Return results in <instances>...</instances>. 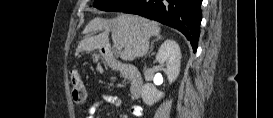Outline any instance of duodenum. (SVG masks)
I'll list each match as a JSON object with an SVG mask.
<instances>
[{
    "label": "duodenum",
    "mask_w": 273,
    "mask_h": 118,
    "mask_svg": "<svg viewBox=\"0 0 273 118\" xmlns=\"http://www.w3.org/2000/svg\"><path fill=\"white\" fill-rule=\"evenodd\" d=\"M104 61L112 69L117 70L123 77L129 81V92L133 98H139L142 94L144 81L139 70L127 63L119 62L112 55L106 53L103 55Z\"/></svg>",
    "instance_id": "410a0bca"
}]
</instances>
